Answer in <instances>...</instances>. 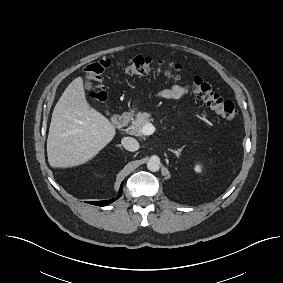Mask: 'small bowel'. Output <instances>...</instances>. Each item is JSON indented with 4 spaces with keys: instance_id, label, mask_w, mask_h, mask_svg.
Wrapping results in <instances>:
<instances>
[{
    "instance_id": "c3829d8e",
    "label": "small bowel",
    "mask_w": 283,
    "mask_h": 283,
    "mask_svg": "<svg viewBox=\"0 0 283 283\" xmlns=\"http://www.w3.org/2000/svg\"><path fill=\"white\" fill-rule=\"evenodd\" d=\"M187 89L184 86L174 85L170 88L162 89L156 93V96L161 99H179L187 94Z\"/></svg>"
}]
</instances>
